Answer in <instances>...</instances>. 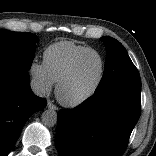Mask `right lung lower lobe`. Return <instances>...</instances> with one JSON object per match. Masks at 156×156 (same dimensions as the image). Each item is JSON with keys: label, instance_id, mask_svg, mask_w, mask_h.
<instances>
[{"label": "right lung lower lobe", "instance_id": "98d812e1", "mask_svg": "<svg viewBox=\"0 0 156 156\" xmlns=\"http://www.w3.org/2000/svg\"><path fill=\"white\" fill-rule=\"evenodd\" d=\"M30 88L27 72L0 67V156H7L28 118L46 106Z\"/></svg>", "mask_w": 156, "mask_h": 156}]
</instances>
